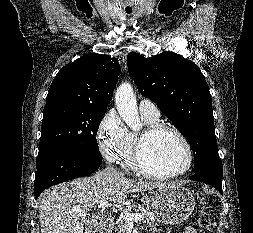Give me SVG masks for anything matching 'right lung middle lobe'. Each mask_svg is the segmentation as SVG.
I'll list each match as a JSON object with an SVG mask.
<instances>
[{"mask_svg":"<svg viewBox=\"0 0 253 233\" xmlns=\"http://www.w3.org/2000/svg\"><path fill=\"white\" fill-rule=\"evenodd\" d=\"M106 110L82 104L45 105L38 156L61 151L102 159L96 134Z\"/></svg>","mask_w":253,"mask_h":233,"instance_id":"1","label":"right lung middle lobe"}]
</instances>
